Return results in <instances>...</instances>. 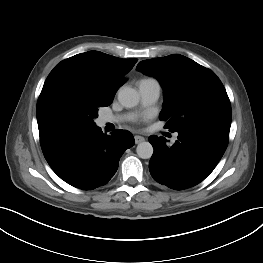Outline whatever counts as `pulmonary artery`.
<instances>
[{"label": "pulmonary artery", "instance_id": "obj_1", "mask_svg": "<svg viewBox=\"0 0 263 263\" xmlns=\"http://www.w3.org/2000/svg\"><path fill=\"white\" fill-rule=\"evenodd\" d=\"M138 93L140 96V102L142 107H148L153 105L160 96L161 87L159 82L153 78L142 79L137 84ZM128 118L126 115L117 116H102L101 123H115L120 122Z\"/></svg>", "mask_w": 263, "mask_h": 263}]
</instances>
